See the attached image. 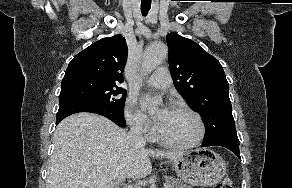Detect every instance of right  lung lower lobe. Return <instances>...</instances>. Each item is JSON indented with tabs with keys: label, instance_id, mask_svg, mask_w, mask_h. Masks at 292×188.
I'll return each mask as SVG.
<instances>
[{
	"label": "right lung lower lobe",
	"instance_id": "obj_1",
	"mask_svg": "<svg viewBox=\"0 0 292 188\" xmlns=\"http://www.w3.org/2000/svg\"><path fill=\"white\" fill-rule=\"evenodd\" d=\"M79 112L96 113L110 119L120 127H124L126 125L123 113L116 114L79 99H67L59 101V110L57 112L56 125L65 117Z\"/></svg>",
	"mask_w": 292,
	"mask_h": 188
}]
</instances>
